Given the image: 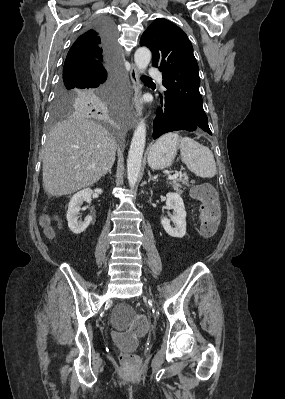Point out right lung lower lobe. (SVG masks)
Wrapping results in <instances>:
<instances>
[{"instance_id": "right-lung-lower-lobe-1", "label": "right lung lower lobe", "mask_w": 285, "mask_h": 399, "mask_svg": "<svg viewBox=\"0 0 285 399\" xmlns=\"http://www.w3.org/2000/svg\"><path fill=\"white\" fill-rule=\"evenodd\" d=\"M92 28L96 29L102 39L104 60L101 65L83 63L63 71L62 82L73 83L78 87L93 91L96 94L110 87L114 76V61L116 54V30L112 21L102 19ZM91 111H98L103 102L91 100L88 102Z\"/></svg>"}]
</instances>
